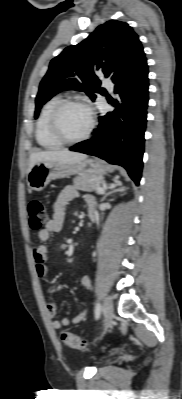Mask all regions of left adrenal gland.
Segmentation results:
<instances>
[{"instance_id": "left-adrenal-gland-1", "label": "left adrenal gland", "mask_w": 182, "mask_h": 399, "mask_svg": "<svg viewBox=\"0 0 182 399\" xmlns=\"http://www.w3.org/2000/svg\"><path fill=\"white\" fill-rule=\"evenodd\" d=\"M117 186H121V182L117 181L115 184H112L109 188L111 189V191H109L108 193H106L103 198L101 199V201H104L106 199L107 196H109L110 194L117 192V191H123L124 187H120L118 189H115Z\"/></svg>"}]
</instances>
